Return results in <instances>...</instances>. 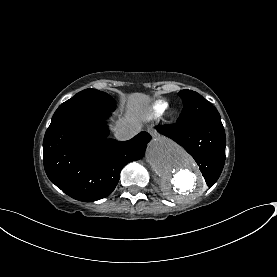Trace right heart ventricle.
<instances>
[{
  "mask_svg": "<svg viewBox=\"0 0 277 277\" xmlns=\"http://www.w3.org/2000/svg\"><path fill=\"white\" fill-rule=\"evenodd\" d=\"M167 106H168V103L166 101H159V102H157L155 104L154 108H153L152 113H150L147 118L150 119L153 116L162 113L166 109Z\"/></svg>",
  "mask_w": 277,
  "mask_h": 277,
  "instance_id": "1",
  "label": "right heart ventricle"
}]
</instances>
